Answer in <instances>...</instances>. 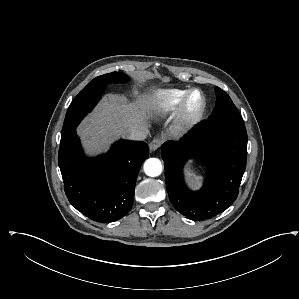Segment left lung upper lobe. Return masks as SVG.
<instances>
[{
  "mask_svg": "<svg viewBox=\"0 0 299 299\" xmlns=\"http://www.w3.org/2000/svg\"><path fill=\"white\" fill-rule=\"evenodd\" d=\"M215 92L217 96L216 107L209 119H225L243 122L242 117L237 111L229 95L219 87L215 88Z\"/></svg>",
  "mask_w": 299,
  "mask_h": 299,
  "instance_id": "left-lung-upper-lobe-1",
  "label": "left lung upper lobe"
}]
</instances>
